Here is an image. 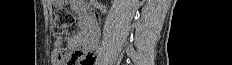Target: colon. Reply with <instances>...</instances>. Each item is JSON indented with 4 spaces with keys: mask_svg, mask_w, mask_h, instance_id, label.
Here are the masks:
<instances>
[{
    "mask_svg": "<svg viewBox=\"0 0 232 65\" xmlns=\"http://www.w3.org/2000/svg\"><path fill=\"white\" fill-rule=\"evenodd\" d=\"M74 22V15L67 9L60 8L56 11L53 21V34L59 42V47L55 53L56 59L66 65H93L94 56L92 53L83 50L67 51L61 46L64 35Z\"/></svg>",
    "mask_w": 232,
    "mask_h": 65,
    "instance_id": "5ec220e1",
    "label": "colon"
}]
</instances>
